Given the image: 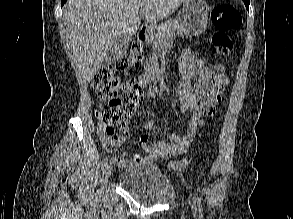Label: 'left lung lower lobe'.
<instances>
[{"mask_svg":"<svg viewBox=\"0 0 293 219\" xmlns=\"http://www.w3.org/2000/svg\"><path fill=\"white\" fill-rule=\"evenodd\" d=\"M243 2L245 3L246 8L249 10L250 0H243Z\"/></svg>","mask_w":293,"mask_h":219,"instance_id":"0a47b994","label":"left lung lower lobe"}]
</instances>
